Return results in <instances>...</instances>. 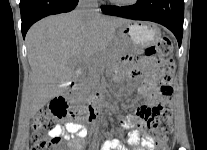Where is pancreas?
Returning a JSON list of instances; mask_svg holds the SVG:
<instances>
[{
  "instance_id": "1",
  "label": "pancreas",
  "mask_w": 207,
  "mask_h": 150,
  "mask_svg": "<svg viewBox=\"0 0 207 150\" xmlns=\"http://www.w3.org/2000/svg\"><path fill=\"white\" fill-rule=\"evenodd\" d=\"M118 51L112 49L108 51L103 57L96 58L97 63H93L89 66L88 72L84 73L81 78V87L83 90H91L99 82V73L103 67H111L115 64V60L118 58Z\"/></svg>"
}]
</instances>
